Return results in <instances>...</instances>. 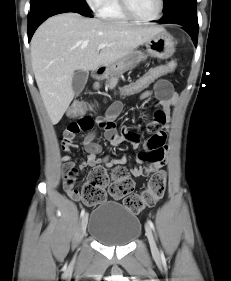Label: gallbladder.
<instances>
[{"instance_id": "gallbladder-1", "label": "gallbladder", "mask_w": 231, "mask_h": 281, "mask_svg": "<svg viewBox=\"0 0 231 281\" xmlns=\"http://www.w3.org/2000/svg\"><path fill=\"white\" fill-rule=\"evenodd\" d=\"M88 80V73L85 71H76L72 80V88L74 90L75 95H79Z\"/></svg>"}]
</instances>
